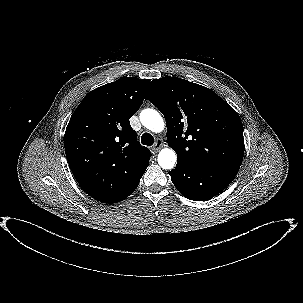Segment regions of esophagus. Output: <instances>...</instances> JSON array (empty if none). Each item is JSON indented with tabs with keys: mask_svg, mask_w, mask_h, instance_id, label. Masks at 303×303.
Listing matches in <instances>:
<instances>
[{
	"mask_svg": "<svg viewBox=\"0 0 303 303\" xmlns=\"http://www.w3.org/2000/svg\"><path fill=\"white\" fill-rule=\"evenodd\" d=\"M163 146V142L161 139H157L156 143L152 147L153 152H158Z\"/></svg>",
	"mask_w": 303,
	"mask_h": 303,
	"instance_id": "34e87169",
	"label": "esophagus"
}]
</instances>
